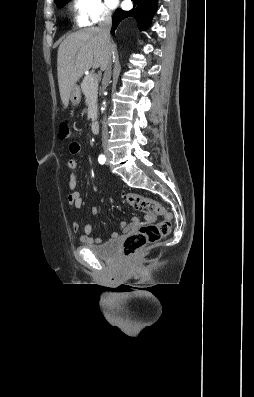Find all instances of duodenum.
Returning <instances> with one entry per match:
<instances>
[{
  "mask_svg": "<svg viewBox=\"0 0 254 397\" xmlns=\"http://www.w3.org/2000/svg\"><path fill=\"white\" fill-rule=\"evenodd\" d=\"M91 131L94 134L99 132V122L97 120H93L91 123Z\"/></svg>",
  "mask_w": 254,
  "mask_h": 397,
  "instance_id": "duodenum-1",
  "label": "duodenum"
}]
</instances>
